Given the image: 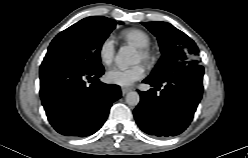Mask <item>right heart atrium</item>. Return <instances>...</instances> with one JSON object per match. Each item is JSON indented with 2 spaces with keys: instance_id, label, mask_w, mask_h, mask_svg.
<instances>
[{
  "instance_id": "right-heart-atrium-1",
  "label": "right heart atrium",
  "mask_w": 248,
  "mask_h": 158,
  "mask_svg": "<svg viewBox=\"0 0 248 158\" xmlns=\"http://www.w3.org/2000/svg\"><path fill=\"white\" fill-rule=\"evenodd\" d=\"M115 46L110 37L105 38L99 45L98 55L104 65H109L115 58Z\"/></svg>"
}]
</instances>
